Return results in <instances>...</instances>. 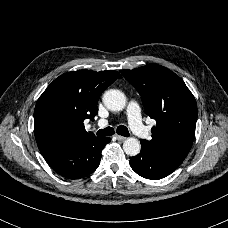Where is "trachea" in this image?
<instances>
[{"label": "trachea", "mask_w": 228, "mask_h": 228, "mask_svg": "<svg viewBox=\"0 0 228 228\" xmlns=\"http://www.w3.org/2000/svg\"><path fill=\"white\" fill-rule=\"evenodd\" d=\"M114 133H115V131H114L113 127H106L105 129L98 130L96 132V135L97 136H110V135H113ZM116 133L121 136H124V137L130 136L128 129L123 125H120L117 127Z\"/></svg>", "instance_id": "trachea-1"}]
</instances>
